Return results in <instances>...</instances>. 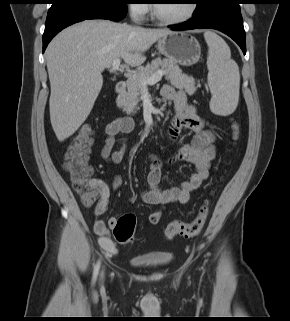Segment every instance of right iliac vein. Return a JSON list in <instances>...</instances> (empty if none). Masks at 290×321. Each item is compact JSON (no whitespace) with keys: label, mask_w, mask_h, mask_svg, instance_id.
Returning <instances> with one entry per match:
<instances>
[{"label":"right iliac vein","mask_w":290,"mask_h":321,"mask_svg":"<svg viewBox=\"0 0 290 321\" xmlns=\"http://www.w3.org/2000/svg\"><path fill=\"white\" fill-rule=\"evenodd\" d=\"M103 276H104V273L102 272L101 277L103 278Z\"/></svg>","instance_id":"obj_1"}]
</instances>
